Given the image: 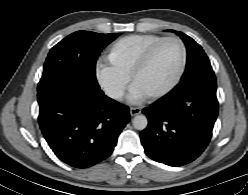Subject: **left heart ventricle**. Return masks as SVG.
<instances>
[{
	"mask_svg": "<svg viewBox=\"0 0 248 195\" xmlns=\"http://www.w3.org/2000/svg\"><path fill=\"white\" fill-rule=\"evenodd\" d=\"M181 60V45L176 41L168 42L159 51L153 65L141 75L138 89L149 93L166 87L177 74Z\"/></svg>",
	"mask_w": 248,
	"mask_h": 195,
	"instance_id": "1",
	"label": "left heart ventricle"
}]
</instances>
